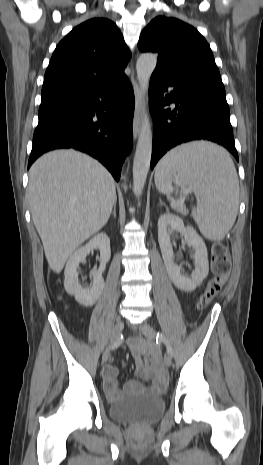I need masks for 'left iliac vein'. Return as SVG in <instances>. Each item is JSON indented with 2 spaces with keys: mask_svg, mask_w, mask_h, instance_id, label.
Wrapping results in <instances>:
<instances>
[{
  "mask_svg": "<svg viewBox=\"0 0 263 465\" xmlns=\"http://www.w3.org/2000/svg\"><path fill=\"white\" fill-rule=\"evenodd\" d=\"M141 332L143 333V335L149 339V340H152L155 338L156 336V332L154 330V328L149 325L148 323H142L140 326H139ZM164 364L167 366V367H170L171 364H172V359H171V356L169 354H165L164 356Z\"/></svg>",
  "mask_w": 263,
  "mask_h": 465,
  "instance_id": "left-iliac-vein-1",
  "label": "left iliac vein"
}]
</instances>
